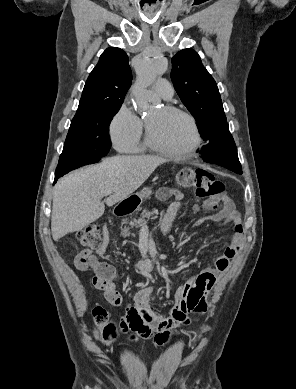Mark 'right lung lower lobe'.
<instances>
[{"instance_id": "98d812e1", "label": "right lung lower lobe", "mask_w": 296, "mask_h": 389, "mask_svg": "<svg viewBox=\"0 0 296 389\" xmlns=\"http://www.w3.org/2000/svg\"><path fill=\"white\" fill-rule=\"evenodd\" d=\"M71 171L70 169H63L55 172V180L54 183H56L57 179L62 177L64 174L68 173Z\"/></svg>"}]
</instances>
